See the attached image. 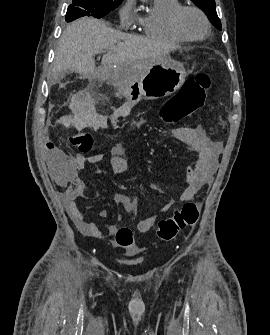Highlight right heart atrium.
Returning <instances> with one entry per match:
<instances>
[{"label": "right heart atrium", "mask_w": 270, "mask_h": 335, "mask_svg": "<svg viewBox=\"0 0 270 335\" xmlns=\"http://www.w3.org/2000/svg\"><path fill=\"white\" fill-rule=\"evenodd\" d=\"M134 6H135V0H125L119 15L121 22L124 26L129 25L134 20Z\"/></svg>", "instance_id": "1"}]
</instances>
